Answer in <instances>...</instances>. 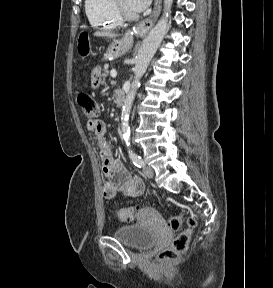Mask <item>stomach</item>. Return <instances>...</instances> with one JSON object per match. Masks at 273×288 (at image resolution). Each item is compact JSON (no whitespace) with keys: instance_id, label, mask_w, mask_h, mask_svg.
<instances>
[{"instance_id":"obj_1","label":"stomach","mask_w":273,"mask_h":288,"mask_svg":"<svg viewBox=\"0 0 273 288\" xmlns=\"http://www.w3.org/2000/svg\"><path fill=\"white\" fill-rule=\"evenodd\" d=\"M131 46L132 43L127 37L113 40L107 47L103 55V59L117 58L127 52ZM76 51L81 58H85L91 53V43L90 40L86 37V35H80V37L78 38ZM99 71L100 67H97L94 70V74H97Z\"/></svg>"}]
</instances>
